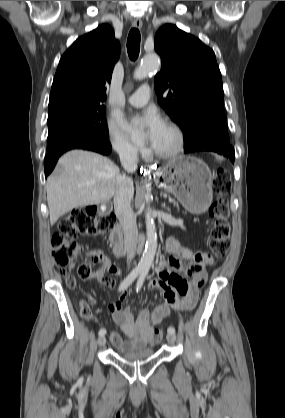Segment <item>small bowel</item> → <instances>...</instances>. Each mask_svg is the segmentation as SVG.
Returning <instances> with one entry per match:
<instances>
[{
  "instance_id": "small-bowel-1",
  "label": "small bowel",
  "mask_w": 285,
  "mask_h": 418,
  "mask_svg": "<svg viewBox=\"0 0 285 418\" xmlns=\"http://www.w3.org/2000/svg\"><path fill=\"white\" fill-rule=\"evenodd\" d=\"M165 245L170 252V256L158 262L157 275L150 282L148 291L152 294L162 295L166 301L151 312L148 309H142L135 317L130 308L123 307L127 294L125 289H122L119 290L121 293L118 300L110 306L115 322L123 333L130 338L129 342H124L118 332H111V343L121 352L146 347L152 337L154 325L163 321L171 310H183L186 308V303L195 302L199 289L206 283L207 273L204 270L205 263L202 258L205 254L181 247L175 238H168ZM182 260L189 262V265L183 268ZM104 262L105 264L98 266L92 272L88 280L111 286H120L115 279L106 277L107 274L113 277L121 276L120 268L111 263L108 258H105ZM183 273L188 278H185ZM65 278L67 287L73 289L75 279L71 276L70 271L67 270ZM80 314L87 320L91 318V307L85 301L80 304Z\"/></svg>"
}]
</instances>
